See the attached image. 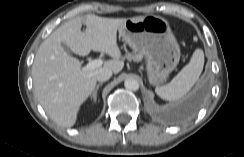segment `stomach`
I'll return each mask as SVG.
<instances>
[{"mask_svg":"<svg viewBox=\"0 0 244 157\" xmlns=\"http://www.w3.org/2000/svg\"><path fill=\"white\" fill-rule=\"evenodd\" d=\"M119 35L134 52L146 58L149 82L163 84L180 60V47L169 23L156 15L128 18L119 28Z\"/></svg>","mask_w":244,"mask_h":157,"instance_id":"0dacf381","label":"stomach"}]
</instances>
